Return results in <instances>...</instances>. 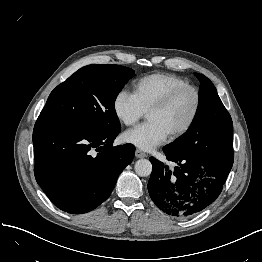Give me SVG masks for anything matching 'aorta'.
Returning <instances> with one entry per match:
<instances>
[{"label": "aorta", "instance_id": "1", "mask_svg": "<svg viewBox=\"0 0 262 262\" xmlns=\"http://www.w3.org/2000/svg\"><path fill=\"white\" fill-rule=\"evenodd\" d=\"M135 172L141 177L149 176L152 172V164L147 159H140L135 163Z\"/></svg>", "mask_w": 262, "mask_h": 262}]
</instances>
